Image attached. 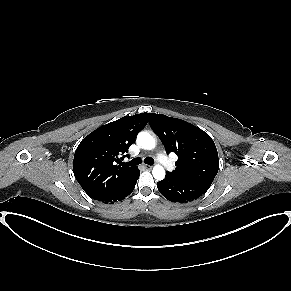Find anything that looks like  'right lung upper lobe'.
Listing matches in <instances>:
<instances>
[{"label":"right lung upper lobe","mask_w":291,"mask_h":291,"mask_svg":"<svg viewBox=\"0 0 291 291\" xmlns=\"http://www.w3.org/2000/svg\"><path fill=\"white\" fill-rule=\"evenodd\" d=\"M149 113L125 116L103 125L78 145L73 161L74 175L83 190L93 199H100L117 190L137 167L118 166L115 162L135 142L146 126Z\"/></svg>","instance_id":"1"}]
</instances>
